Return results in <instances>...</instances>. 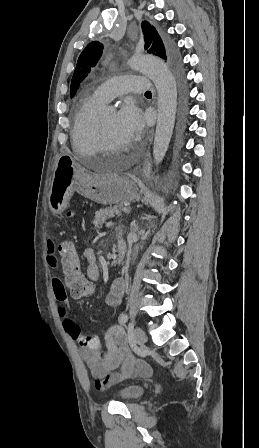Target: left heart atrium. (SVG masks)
I'll list each match as a JSON object with an SVG mask.
<instances>
[{"label": "left heart atrium", "mask_w": 259, "mask_h": 448, "mask_svg": "<svg viewBox=\"0 0 259 448\" xmlns=\"http://www.w3.org/2000/svg\"><path fill=\"white\" fill-rule=\"evenodd\" d=\"M117 124L130 138H138L144 129L141 110L131 101H126L117 113Z\"/></svg>", "instance_id": "left-heart-atrium-1"}]
</instances>
